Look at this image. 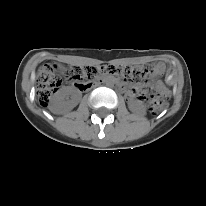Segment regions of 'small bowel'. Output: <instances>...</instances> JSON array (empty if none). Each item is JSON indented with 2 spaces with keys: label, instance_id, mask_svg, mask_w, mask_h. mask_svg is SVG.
Returning a JSON list of instances; mask_svg holds the SVG:
<instances>
[{
  "label": "small bowel",
  "instance_id": "c3829d8e",
  "mask_svg": "<svg viewBox=\"0 0 206 206\" xmlns=\"http://www.w3.org/2000/svg\"><path fill=\"white\" fill-rule=\"evenodd\" d=\"M164 69H165V65L163 63H158L154 68V72L156 74H161L163 73Z\"/></svg>",
  "mask_w": 206,
  "mask_h": 206
}]
</instances>
